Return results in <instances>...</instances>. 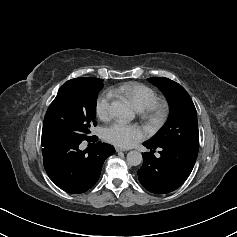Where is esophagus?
Returning <instances> with one entry per match:
<instances>
[{
	"label": "esophagus",
	"instance_id": "1",
	"mask_svg": "<svg viewBox=\"0 0 237 237\" xmlns=\"http://www.w3.org/2000/svg\"><path fill=\"white\" fill-rule=\"evenodd\" d=\"M116 152H126L127 149H123V148H119V147H116L115 148Z\"/></svg>",
	"mask_w": 237,
	"mask_h": 237
}]
</instances>
